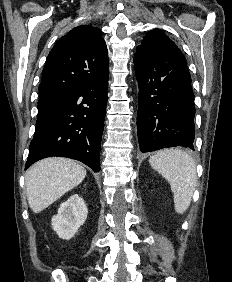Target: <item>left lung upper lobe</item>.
<instances>
[{
    "label": "left lung upper lobe",
    "instance_id": "left-lung-upper-lobe-1",
    "mask_svg": "<svg viewBox=\"0 0 232 282\" xmlns=\"http://www.w3.org/2000/svg\"><path fill=\"white\" fill-rule=\"evenodd\" d=\"M164 45L175 44L162 30L154 29L147 33L140 46L148 49H156Z\"/></svg>",
    "mask_w": 232,
    "mask_h": 282
}]
</instances>
